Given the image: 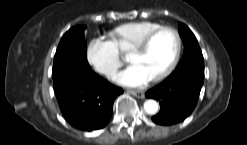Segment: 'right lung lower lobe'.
<instances>
[{"mask_svg": "<svg viewBox=\"0 0 247 145\" xmlns=\"http://www.w3.org/2000/svg\"><path fill=\"white\" fill-rule=\"evenodd\" d=\"M52 77L61 112L80 130L103 128L111 118L114 100L123 93L82 62L68 64Z\"/></svg>", "mask_w": 247, "mask_h": 145, "instance_id": "right-lung-lower-lobe-1", "label": "right lung lower lobe"}]
</instances>
